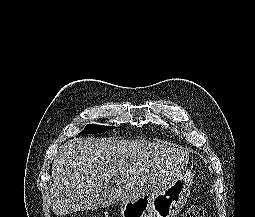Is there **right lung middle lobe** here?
I'll list each match as a JSON object with an SVG mask.
<instances>
[{
  "label": "right lung middle lobe",
  "mask_w": 255,
  "mask_h": 217,
  "mask_svg": "<svg viewBox=\"0 0 255 217\" xmlns=\"http://www.w3.org/2000/svg\"><path fill=\"white\" fill-rule=\"evenodd\" d=\"M114 126H100V125H94V124H88L83 132L81 133H87V134H95V133H101L110 129H113Z\"/></svg>",
  "instance_id": "obj_1"
}]
</instances>
